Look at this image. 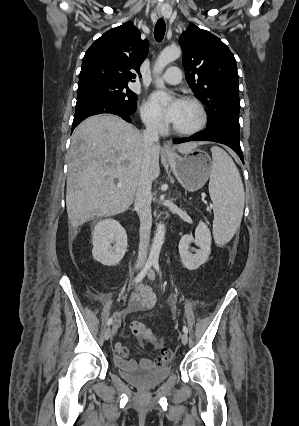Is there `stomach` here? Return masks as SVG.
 Returning <instances> with one entry per match:
<instances>
[{
    "instance_id": "0dacf381",
    "label": "stomach",
    "mask_w": 299,
    "mask_h": 426,
    "mask_svg": "<svg viewBox=\"0 0 299 426\" xmlns=\"http://www.w3.org/2000/svg\"><path fill=\"white\" fill-rule=\"evenodd\" d=\"M166 160L177 180L190 192L203 187L212 172L211 158L199 149H193L184 156L172 153L166 155Z\"/></svg>"
}]
</instances>
